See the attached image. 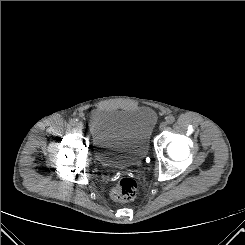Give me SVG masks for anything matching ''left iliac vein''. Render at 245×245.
I'll list each match as a JSON object with an SVG mask.
<instances>
[{
  "mask_svg": "<svg viewBox=\"0 0 245 245\" xmlns=\"http://www.w3.org/2000/svg\"><path fill=\"white\" fill-rule=\"evenodd\" d=\"M167 127V123L166 122H162L159 126V129L162 131V130H165Z\"/></svg>",
  "mask_w": 245,
  "mask_h": 245,
  "instance_id": "4c4485c4",
  "label": "left iliac vein"
}]
</instances>
